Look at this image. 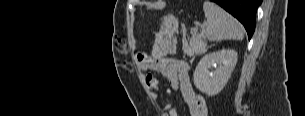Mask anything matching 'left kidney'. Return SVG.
<instances>
[{"label": "left kidney", "instance_id": "left-kidney-1", "mask_svg": "<svg viewBox=\"0 0 305 116\" xmlns=\"http://www.w3.org/2000/svg\"><path fill=\"white\" fill-rule=\"evenodd\" d=\"M236 63L237 52L231 49L204 55L193 75L196 88L208 96L217 95L227 84Z\"/></svg>", "mask_w": 305, "mask_h": 116}]
</instances>
